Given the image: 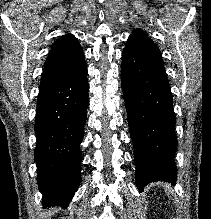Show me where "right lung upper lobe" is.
Returning <instances> with one entry per match:
<instances>
[{
    "label": "right lung upper lobe",
    "mask_w": 211,
    "mask_h": 219,
    "mask_svg": "<svg viewBox=\"0 0 211 219\" xmlns=\"http://www.w3.org/2000/svg\"><path fill=\"white\" fill-rule=\"evenodd\" d=\"M84 59L83 50L73 35L56 40L46 59L40 86L58 77L67 69Z\"/></svg>",
    "instance_id": "right-lung-upper-lobe-1"
}]
</instances>
